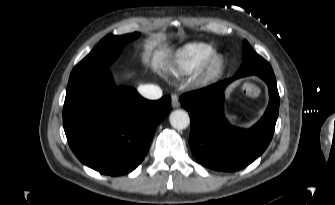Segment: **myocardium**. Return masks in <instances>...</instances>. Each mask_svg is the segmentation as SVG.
<instances>
[{
  "mask_svg": "<svg viewBox=\"0 0 335 205\" xmlns=\"http://www.w3.org/2000/svg\"><path fill=\"white\" fill-rule=\"evenodd\" d=\"M225 62L222 54L213 52L198 68L195 76V83L200 87L214 83L222 74Z\"/></svg>",
  "mask_w": 335,
  "mask_h": 205,
  "instance_id": "myocardium-1",
  "label": "myocardium"
}]
</instances>
